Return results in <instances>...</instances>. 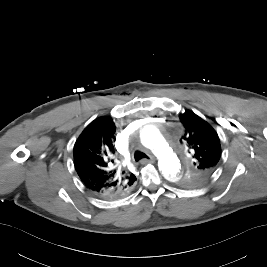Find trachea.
Wrapping results in <instances>:
<instances>
[{"mask_svg": "<svg viewBox=\"0 0 267 267\" xmlns=\"http://www.w3.org/2000/svg\"><path fill=\"white\" fill-rule=\"evenodd\" d=\"M144 158H149L144 152H141V151H136L134 153V159L136 162L140 161L141 159H144Z\"/></svg>", "mask_w": 267, "mask_h": 267, "instance_id": "obj_1", "label": "trachea"}]
</instances>
